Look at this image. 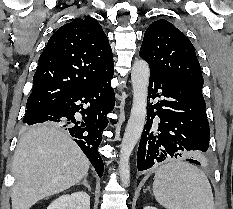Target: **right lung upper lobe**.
Masks as SVG:
<instances>
[{
  "label": "right lung upper lobe",
  "mask_w": 233,
  "mask_h": 209,
  "mask_svg": "<svg viewBox=\"0 0 233 209\" xmlns=\"http://www.w3.org/2000/svg\"><path fill=\"white\" fill-rule=\"evenodd\" d=\"M113 72L111 47L100 24L89 16L75 19L50 37L40 55L27 103L47 105Z\"/></svg>",
  "instance_id": "right-lung-upper-lobe-1"
}]
</instances>
